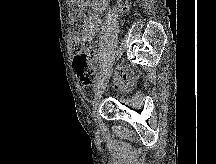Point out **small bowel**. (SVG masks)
Here are the masks:
<instances>
[{"instance_id": "1", "label": "small bowel", "mask_w": 216, "mask_h": 164, "mask_svg": "<svg viewBox=\"0 0 216 164\" xmlns=\"http://www.w3.org/2000/svg\"><path fill=\"white\" fill-rule=\"evenodd\" d=\"M87 20H91L96 23L86 36V41H91L97 31L98 17L94 14H88L86 16V21ZM131 81L132 77L127 71L120 70L115 75V87H118L124 83H130Z\"/></svg>"}]
</instances>
